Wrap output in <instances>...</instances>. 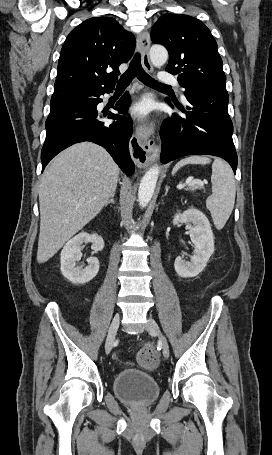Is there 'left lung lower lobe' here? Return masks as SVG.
<instances>
[{
    "label": "left lung lower lobe",
    "mask_w": 272,
    "mask_h": 455,
    "mask_svg": "<svg viewBox=\"0 0 272 455\" xmlns=\"http://www.w3.org/2000/svg\"><path fill=\"white\" fill-rule=\"evenodd\" d=\"M185 97L186 110L174 102L185 116L172 114L161 126V161L167 163L192 154L214 155L225 159L235 173L237 153L232 140L227 90L199 88L187 92ZM166 102L172 106L168 98Z\"/></svg>",
    "instance_id": "1"
}]
</instances>
